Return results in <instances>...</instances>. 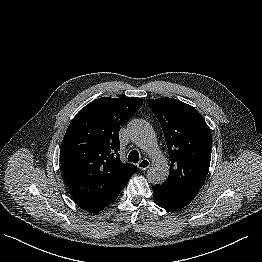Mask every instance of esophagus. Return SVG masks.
<instances>
[{"label":"esophagus","mask_w":262,"mask_h":262,"mask_svg":"<svg viewBox=\"0 0 262 262\" xmlns=\"http://www.w3.org/2000/svg\"><path fill=\"white\" fill-rule=\"evenodd\" d=\"M138 168L141 170H147L150 167V161L148 159H142L138 164Z\"/></svg>","instance_id":"esophagus-1"}]
</instances>
